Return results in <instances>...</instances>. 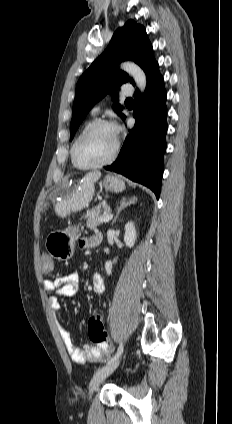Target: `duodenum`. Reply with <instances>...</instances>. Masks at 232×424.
<instances>
[{"instance_id":"1","label":"duodenum","mask_w":232,"mask_h":424,"mask_svg":"<svg viewBox=\"0 0 232 424\" xmlns=\"http://www.w3.org/2000/svg\"><path fill=\"white\" fill-rule=\"evenodd\" d=\"M100 241H101V235H99V243H100Z\"/></svg>"}]
</instances>
